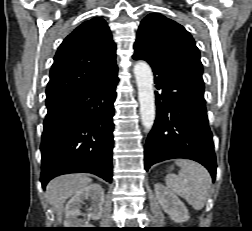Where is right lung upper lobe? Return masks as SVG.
Instances as JSON below:
<instances>
[{
    "instance_id": "right-lung-upper-lobe-1",
    "label": "right lung upper lobe",
    "mask_w": 252,
    "mask_h": 231,
    "mask_svg": "<svg viewBox=\"0 0 252 231\" xmlns=\"http://www.w3.org/2000/svg\"><path fill=\"white\" fill-rule=\"evenodd\" d=\"M116 45L102 18L85 21L59 46L46 89L52 106L84 87L117 76Z\"/></svg>"
}]
</instances>
